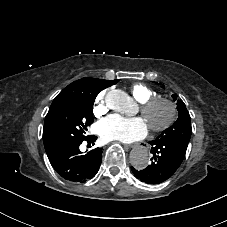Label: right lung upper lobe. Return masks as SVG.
I'll use <instances>...</instances> for the list:
<instances>
[{"instance_id":"cb5924a9","label":"right lung upper lobe","mask_w":227,"mask_h":227,"mask_svg":"<svg viewBox=\"0 0 227 227\" xmlns=\"http://www.w3.org/2000/svg\"><path fill=\"white\" fill-rule=\"evenodd\" d=\"M90 79H95V78H82L80 80H77V81L71 83L66 88H64L62 91L65 92V91H70V90H73L75 88H78L79 86H81L82 84H84L85 82H87ZM98 80H100V83L102 84L104 89L111 86V85L116 84L119 81L118 79L112 80V81L103 80V79H98Z\"/></svg>"}]
</instances>
